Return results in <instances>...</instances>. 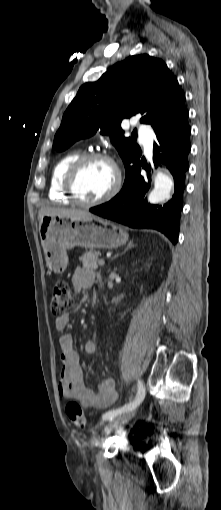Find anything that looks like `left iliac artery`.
<instances>
[{"instance_id": "obj_1", "label": "left iliac artery", "mask_w": 221, "mask_h": 510, "mask_svg": "<svg viewBox=\"0 0 221 510\" xmlns=\"http://www.w3.org/2000/svg\"><path fill=\"white\" fill-rule=\"evenodd\" d=\"M141 388V389H140ZM145 397V388L142 386V384L138 381V390L136 397L133 401L123 405L122 407L114 410H110L103 414L102 419L103 420H112L114 417L121 415L123 413L129 412L134 410L136 407L140 405V403L143 401Z\"/></svg>"}]
</instances>
